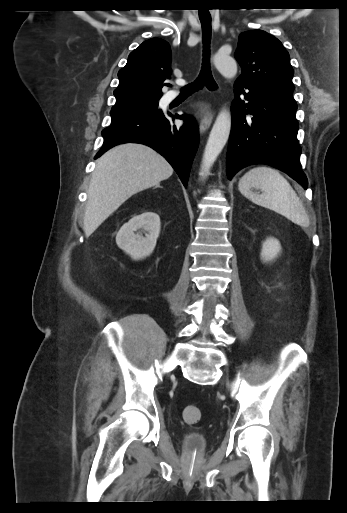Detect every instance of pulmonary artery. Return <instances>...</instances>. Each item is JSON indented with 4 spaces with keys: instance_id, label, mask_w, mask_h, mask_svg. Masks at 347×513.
Returning <instances> with one entry per match:
<instances>
[{
    "instance_id": "pulmonary-artery-1",
    "label": "pulmonary artery",
    "mask_w": 347,
    "mask_h": 513,
    "mask_svg": "<svg viewBox=\"0 0 347 513\" xmlns=\"http://www.w3.org/2000/svg\"><path fill=\"white\" fill-rule=\"evenodd\" d=\"M177 83L179 85H183L185 83V81L184 80H178ZM177 96H178V94L175 91H169L166 94L164 99H165L166 102H170V101L174 100Z\"/></svg>"
}]
</instances>
